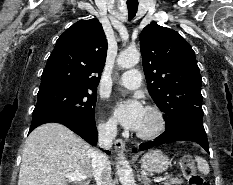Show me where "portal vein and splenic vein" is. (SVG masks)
Wrapping results in <instances>:
<instances>
[{"label": "portal vein and splenic vein", "instance_id": "portal-vein-and-splenic-vein-1", "mask_svg": "<svg viewBox=\"0 0 233 185\" xmlns=\"http://www.w3.org/2000/svg\"><path fill=\"white\" fill-rule=\"evenodd\" d=\"M65 178H67L68 181H82V180H85L86 179V176L85 175H82V174H79V173H68V174H65L64 175ZM166 178H163V177H158V178H155L154 179V182H162L164 181Z\"/></svg>", "mask_w": 233, "mask_h": 185}]
</instances>
